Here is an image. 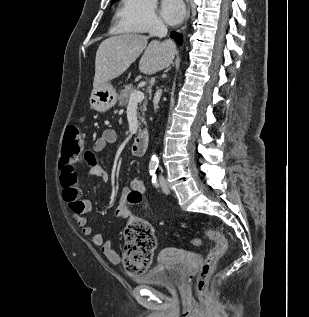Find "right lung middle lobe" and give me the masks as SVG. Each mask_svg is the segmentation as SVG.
Masks as SVG:
<instances>
[{
  "instance_id": "dd1d6c3e",
  "label": "right lung middle lobe",
  "mask_w": 309,
  "mask_h": 317,
  "mask_svg": "<svg viewBox=\"0 0 309 317\" xmlns=\"http://www.w3.org/2000/svg\"><path fill=\"white\" fill-rule=\"evenodd\" d=\"M117 0H112V3L116 2Z\"/></svg>"
}]
</instances>
